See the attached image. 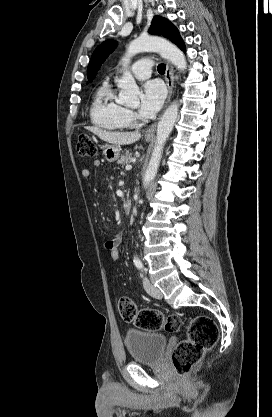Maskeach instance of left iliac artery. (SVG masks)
I'll return each instance as SVG.
<instances>
[{
	"mask_svg": "<svg viewBox=\"0 0 272 417\" xmlns=\"http://www.w3.org/2000/svg\"><path fill=\"white\" fill-rule=\"evenodd\" d=\"M135 266L138 268V269H140V270H143V264H142V262L140 261V260H136L135 261Z\"/></svg>",
	"mask_w": 272,
	"mask_h": 417,
	"instance_id": "1",
	"label": "left iliac artery"
}]
</instances>
